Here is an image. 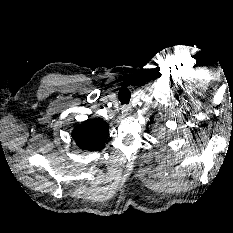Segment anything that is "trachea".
Masks as SVG:
<instances>
[{
	"label": "trachea",
	"instance_id": "3493384b",
	"mask_svg": "<svg viewBox=\"0 0 233 233\" xmlns=\"http://www.w3.org/2000/svg\"><path fill=\"white\" fill-rule=\"evenodd\" d=\"M130 97V92L127 89H122L118 95V98L122 104H128L130 101Z\"/></svg>",
	"mask_w": 233,
	"mask_h": 233
}]
</instances>
